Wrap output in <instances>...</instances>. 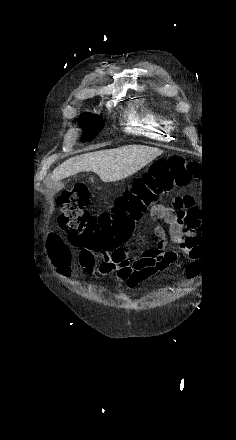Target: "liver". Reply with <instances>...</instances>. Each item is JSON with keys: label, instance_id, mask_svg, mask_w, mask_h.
<instances>
[{"label": "liver", "instance_id": "obj_1", "mask_svg": "<svg viewBox=\"0 0 236 440\" xmlns=\"http://www.w3.org/2000/svg\"><path fill=\"white\" fill-rule=\"evenodd\" d=\"M161 154L162 150L143 145L85 153L56 167L51 180L57 182L79 172L93 171L103 182H115L133 175Z\"/></svg>", "mask_w": 236, "mask_h": 440}]
</instances>
